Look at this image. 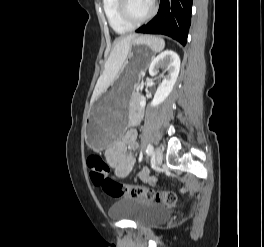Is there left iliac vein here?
<instances>
[{
    "label": "left iliac vein",
    "instance_id": "4c4485c4",
    "mask_svg": "<svg viewBox=\"0 0 264 247\" xmlns=\"http://www.w3.org/2000/svg\"><path fill=\"white\" fill-rule=\"evenodd\" d=\"M163 160V153L161 148H156L155 150V162L157 165H160L162 163Z\"/></svg>",
    "mask_w": 264,
    "mask_h": 247
}]
</instances>
